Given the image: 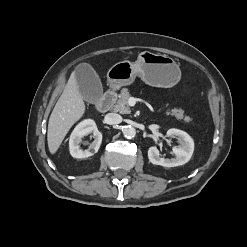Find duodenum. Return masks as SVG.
Here are the masks:
<instances>
[{"instance_id":"410a0bca","label":"duodenum","mask_w":247,"mask_h":247,"mask_svg":"<svg viewBox=\"0 0 247 247\" xmlns=\"http://www.w3.org/2000/svg\"><path fill=\"white\" fill-rule=\"evenodd\" d=\"M116 99V93L114 90H108L97 102L96 109L99 112H107L113 105Z\"/></svg>"}]
</instances>
